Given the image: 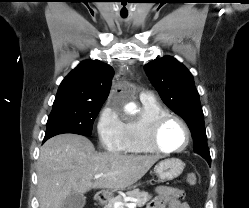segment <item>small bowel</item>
<instances>
[{
    "instance_id": "c3829d8e",
    "label": "small bowel",
    "mask_w": 249,
    "mask_h": 208,
    "mask_svg": "<svg viewBox=\"0 0 249 208\" xmlns=\"http://www.w3.org/2000/svg\"><path fill=\"white\" fill-rule=\"evenodd\" d=\"M184 196L183 190L160 186L156 189V196L148 204L147 208H190V206L183 201Z\"/></svg>"
}]
</instances>
